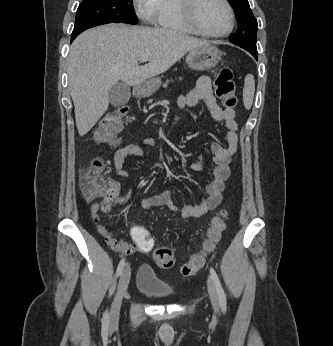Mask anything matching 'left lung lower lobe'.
<instances>
[{
  "label": "left lung lower lobe",
  "mask_w": 333,
  "mask_h": 346,
  "mask_svg": "<svg viewBox=\"0 0 333 346\" xmlns=\"http://www.w3.org/2000/svg\"><path fill=\"white\" fill-rule=\"evenodd\" d=\"M252 55H253V56L255 57V59L257 60L258 54H257V53H253Z\"/></svg>",
  "instance_id": "1"
}]
</instances>
